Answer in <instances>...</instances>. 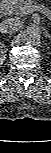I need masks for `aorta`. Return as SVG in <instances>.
<instances>
[{
	"label": "aorta",
	"instance_id": "aorta-1",
	"mask_svg": "<svg viewBox=\"0 0 51 153\" xmlns=\"http://www.w3.org/2000/svg\"><path fill=\"white\" fill-rule=\"evenodd\" d=\"M41 39L38 27L31 26L25 29L21 35V41L27 45H36Z\"/></svg>",
	"mask_w": 51,
	"mask_h": 153
}]
</instances>
